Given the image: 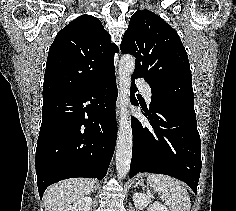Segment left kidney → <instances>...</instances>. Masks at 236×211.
I'll use <instances>...</instances> for the list:
<instances>
[{
	"instance_id": "left-kidney-1",
	"label": "left kidney",
	"mask_w": 236,
	"mask_h": 211,
	"mask_svg": "<svg viewBox=\"0 0 236 211\" xmlns=\"http://www.w3.org/2000/svg\"><path fill=\"white\" fill-rule=\"evenodd\" d=\"M133 201H134V205L137 208H144L148 204H150L151 199H150V196L148 194H144V193H141V192L140 193L135 192L134 195H133ZM153 211H169V210L166 206H164L160 202H154L153 203Z\"/></svg>"
}]
</instances>
